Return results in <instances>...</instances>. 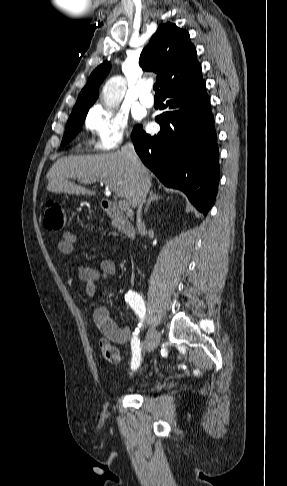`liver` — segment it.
<instances>
[{"label":"liver","mask_w":287,"mask_h":486,"mask_svg":"<svg viewBox=\"0 0 287 486\" xmlns=\"http://www.w3.org/2000/svg\"><path fill=\"white\" fill-rule=\"evenodd\" d=\"M146 172L151 179L150 172L147 169ZM46 178L48 191L77 196H94L96 191L76 185L70 179H78L85 184L109 182L115 186L118 196L125 197L132 208L137 206L138 174L132 161L121 151L60 158L52 165Z\"/></svg>","instance_id":"liver-1"}]
</instances>
